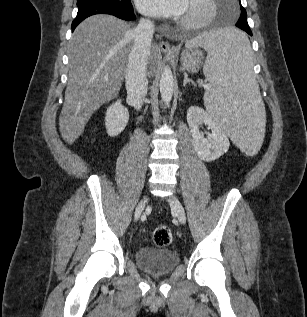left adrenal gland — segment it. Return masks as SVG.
Listing matches in <instances>:
<instances>
[{"label": "left adrenal gland", "instance_id": "obj_1", "mask_svg": "<svg viewBox=\"0 0 307 317\" xmlns=\"http://www.w3.org/2000/svg\"><path fill=\"white\" fill-rule=\"evenodd\" d=\"M188 83H192V85H195V83L188 78L187 73H184V81H183V86L185 87Z\"/></svg>", "mask_w": 307, "mask_h": 317}]
</instances>
